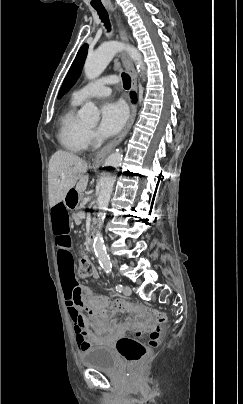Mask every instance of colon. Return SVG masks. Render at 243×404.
Masks as SVG:
<instances>
[{
    "label": "colon",
    "instance_id": "5ec220e1",
    "mask_svg": "<svg viewBox=\"0 0 243 404\" xmlns=\"http://www.w3.org/2000/svg\"><path fill=\"white\" fill-rule=\"evenodd\" d=\"M79 272L81 277L88 278L94 276V268L90 260L83 256L79 259ZM88 311L98 317H106L114 311H127L134 315H143L148 309L142 304L125 302L120 299H111L105 295L90 294L84 301H79ZM153 315L159 324H165L167 316L163 311L154 310ZM161 340V329L156 326L149 330L148 341L141 342L138 338H121L117 341L118 352L131 364L140 362L150 350L156 348Z\"/></svg>",
    "mask_w": 243,
    "mask_h": 404
}]
</instances>
